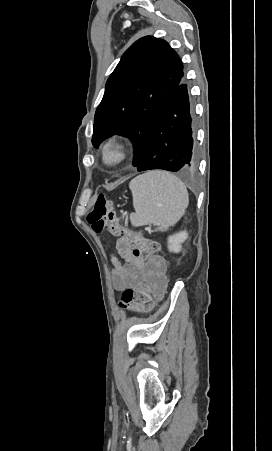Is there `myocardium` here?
I'll return each instance as SVG.
<instances>
[{"label":"myocardium","instance_id":"obj_1","mask_svg":"<svg viewBox=\"0 0 272 451\" xmlns=\"http://www.w3.org/2000/svg\"><path fill=\"white\" fill-rule=\"evenodd\" d=\"M127 159L125 148L115 142H107L101 150V163L110 168H119Z\"/></svg>","mask_w":272,"mask_h":451}]
</instances>
